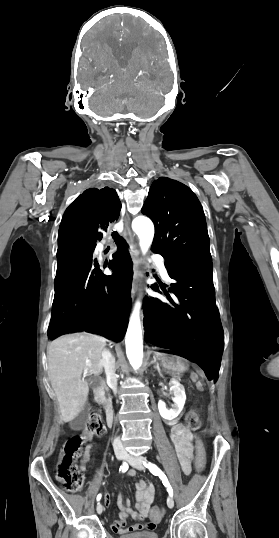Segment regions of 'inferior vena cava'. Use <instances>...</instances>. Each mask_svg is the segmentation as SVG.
Returning a JSON list of instances; mask_svg holds the SVG:
<instances>
[{
	"mask_svg": "<svg viewBox=\"0 0 279 538\" xmlns=\"http://www.w3.org/2000/svg\"><path fill=\"white\" fill-rule=\"evenodd\" d=\"M102 356H103V359H105V361H102L103 364H104V368H105V372H106V375H107V384L108 386L112 385L113 388V391L116 392V385H117V380L116 378H118L114 372V363L115 361H110V358H111V353L110 352H104L102 353ZM113 446H114V451H115V454H116V457L118 459H125L128 457L127 454H125L124 452V449L125 447H123L121 441L119 440V437L116 438L114 440V443H113Z\"/></svg>",
	"mask_w": 279,
	"mask_h": 538,
	"instance_id": "602c4592",
	"label": "inferior vena cava"
}]
</instances>
